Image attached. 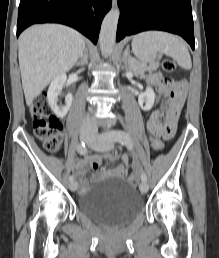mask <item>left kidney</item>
<instances>
[{"mask_svg": "<svg viewBox=\"0 0 219 258\" xmlns=\"http://www.w3.org/2000/svg\"><path fill=\"white\" fill-rule=\"evenodd\" d=\"M155 101V93L151 87H147L146 91L138 96V103L142 110L149 111Z\"/></svg>", "mask_w": 219, "mask_h": 258, "instance_id": "5707ae66", "label": "left kidney"}]
</instances>
